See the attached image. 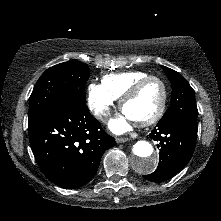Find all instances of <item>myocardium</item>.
Returning a JSON list of instances; mask_svg holds the SVG:
<instances>
[{"label":"myocardium","instance_id":"f54148a6","mask_svg":"<svg viewBox=\"0 0 221 221\" xmlns=\"http://www.w3.org/2000/svg\"><path fill=\"white\" fill-rule=\"evenodd\" d=\"M150 81H157L160 84L161 89H162V98H161L159 108L157 109V111L151 117H149L145 120H141V121H134L135 124L137 126H140V127H146V126L154 124L155 122H157L162 117V115L165 112L166 104H167V98H168V91H167L166 83L163 81V79H161L160 77L155 76V75H148V76L138 80L121 97L120 102H119L120 110L123 112L124 106L126 105V103L129 102L131 99H133L140 92V90Z\"/></svg>","mask_w":221,"mask_h":221}]
</instances>
